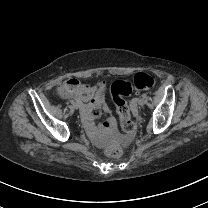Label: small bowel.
I'll return each mask as SVG.
<instances>
[{
  "label": "small bowel",
  "instance_id": "obj_1",
  "mask_svg": "<svg viewBox=\"0 0 208 208\" xmlns=\"http://www.w3.org/2000/svg\"><path fill=\"white\" fill-rule=\"evenodd\" d=\"M81 84V79L75 77L69 82L64 83L62 89H56L54 95L61 101L72 100L73 103L82 110L88 119L86 126L88 128L89 138L94 146L100 147L106 142L108 133L116 126L114 118L111 116V112L107 104H104L100 111H96L95 109L93 110V108H97L98 104L101 103L102 98L100 94L105 91L106 86L104 83L99 82L94 86L93 89L87 87H82L79 89ZM76 90L77 93L74 94L73 91ZM97 118H104L99 129L97 123L94 122V120Z\"/></svg>",
  "mask_w": 208,
  "mask_h": 208
}]
</instances>
